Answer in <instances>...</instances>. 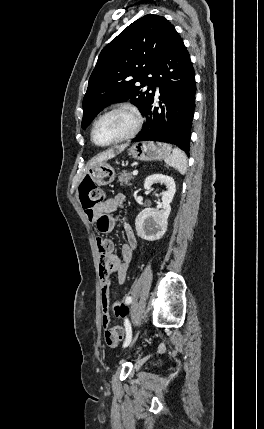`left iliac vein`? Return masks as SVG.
Returning a JSON list of instances; mask_svg holds the SVG:
<instances>
[{
	"label": "left iliac vein",
	"mask_w": 264,
	"mask_h": 429,
	"mask_svg": "<svg viewBox=\"0 0 264 429\" xmlns=\"http://www.w3.org/2000/svg\"><path fill=\"white\" fill-rule=\"evenodd\" d=\"M136 330H137V332H135L133 339H131V342L127 346L128 348L132 347L134 342H138V339H139L140 335L142 334V331L139 327Z\"/></svg>",
	"instance_id": "obj_1"
}]
</instances>
